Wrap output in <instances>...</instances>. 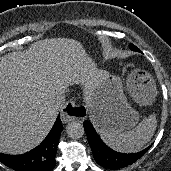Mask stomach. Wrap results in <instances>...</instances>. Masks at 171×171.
<instances>
[{
    "instance_id": "0dacf381",
    "label": "stomach",
    "mask_w": 171,
    "mask_h": 171,
    "mask_svg": "<svg viewBox=\"0 0 171 171\" xmlns=\"http://www.w3.org/2000/svg\"><path fill=\"white\" fill-rule=\"evenodd\" d=\"M85 58L91 69L89 82L93 89L89 93L95 97L99 107L95 117L99 118L101 125L111 126L120 131L133 128L138 123L140 114L128 102L121 79L93 67L86 55Z\"/></svg>"
}]
</instances>
